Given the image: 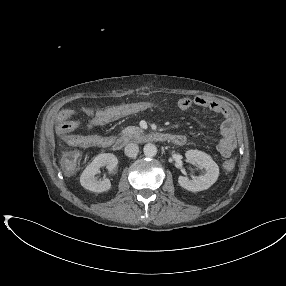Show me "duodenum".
Segmentation results:
<instances>
[{
	"label": "duodenum",
	"mask_w": 286,
	"mask_h": 286,
	"mask_svg": "<svg viewBox=\"0 0 286 286\" xmlns=\"http://www.w3.org/2000/svg\"><path fill=\"white\" fill-rule=\"evenodd\" d=\"M140 140L142 141H170L178 146H182L186 143V139L182 135L168 133V132H156V133H147L141 136ZM128 138H118L113 140L111 143L112 149L115 151H120L127 143Z\"/></svg>",
	"instance_id": "1"
}]
</instances>
